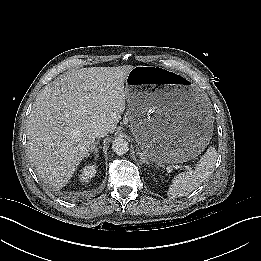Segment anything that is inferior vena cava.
Segmentation results:
<instances>
[{
    "label": "inferior vena cava",
    "instance_id": "obj_1",
    "mask_svg": "<svg viewBox=\"0 0 261 261\" xmlns=\"http://www.w3.org/2000/svg\"><path fill=\"white\" fill-rule=\"evenodd\" d=\"M93 134L95 137H104L108 133V129L105 125H96L93 127Z\"/></svg>",
    "mask_w": 261,
    "mask_h": 261
}]
</instances>
